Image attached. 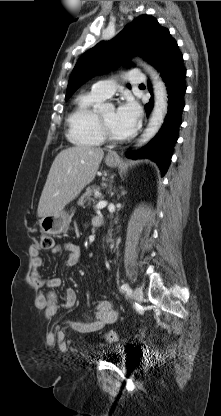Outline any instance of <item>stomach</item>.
<instances>
[{
	"label": "stomach",
	"instance_id": "1",
	"mask_svg": "<svg viewBox=\"0 0 221 416\" xmlns=\"http://www.w3.org/2000/svg\"><path fill=\"white\" fill-rule=\"evenodd\" d=\"M119 162L120 160L118 158L115 160H110L109 158L105 159V163L109 167H116ZM70 222L71 216L62 210L58 213L43 217L39 221V225L43 233L49 235H59L67 232Z\"/></svg>",
	"mask_w": 221,
	"mask_h": 416
}]
</instances>
